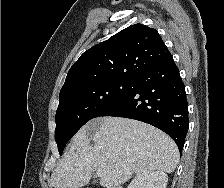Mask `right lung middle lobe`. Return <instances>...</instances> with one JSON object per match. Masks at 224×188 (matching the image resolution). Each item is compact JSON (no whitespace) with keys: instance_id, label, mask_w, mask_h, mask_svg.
<instances>
[{"instance_id":"obj_1","label":"right lung middle lobe","mask_w":224,"mask_h":188,"mask_svg":"<svg viewBox=\"0 0 224 188\" xmlns=\"http://www.w3.org/2000/svg\"><path fill=\"white\" fill-rule=\"evenodd\" d=\"M130 86L131 80H107L60 91L55 129L59 154L85 123L102 116L120 102Z\"/></svg>"}]
</instances>
